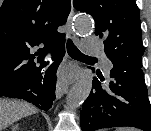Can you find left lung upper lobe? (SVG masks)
I'll use <instances>...</instances> for the list:
<instances>
[{
    "instance_id": "left-lung-upper-lobe-1",
    "label": "left lung upper lobe",
    "mask_w": 151,
    "mask_h": 131,
    "mask_svg": "<svg viewBox=\"0 0 151 131\" xmlns=\"http://www.w3.org/2000/svg\"><path fill=\"white\" fill-rule=\"evenodd\" d=\"M75 9L95 20V35L105 39L113 68H141L144 53L140 11L135 0H73Z\"/></svg>"
}]
</instances>
